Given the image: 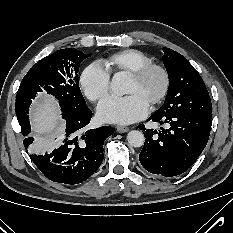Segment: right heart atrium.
<instances>
[{
    "mask_svg": "<svg viewBox=\"0 0 233 233\" xmlns=\"http://www.w3.org/2000/svg\"><path fill=\"white\" fill-rule=\"evenodd\" d=\"M79 85L89 100L98 101L109 92L110 73L100 63L93 62L80 74Z\"/></svg>",
    "mask_w": 233,
    "mask_h": 233,
    "instance_id": "1",
    "label": "right heart atrium"
}]
</instances>
